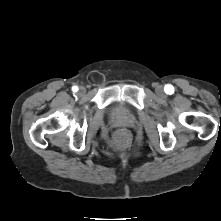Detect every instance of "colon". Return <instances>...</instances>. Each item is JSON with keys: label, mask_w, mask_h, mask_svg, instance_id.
Listing matches in <instances>:
<instances>
[{"label": "colon", "mask_w": 221, "mask_h": 221, "mask_svg": "<svg viewBox=\"0 0 221 221\" xmlns=\"http://www.w3.org/2000/svg\"><path fill=\"white\" fill-rule=\"evenodd\" d=\"M131 140L130 133L126 129H120L113 135V144L117 148H125Z\"/></svg>", "instance_id": "obj_1"}]
</instances>
